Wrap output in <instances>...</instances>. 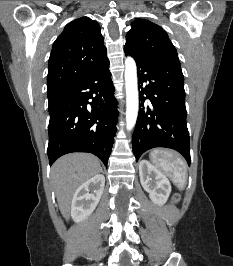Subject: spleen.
Returning <instances> with one entry per match:
<instances>
[{
	"mask_svg": "<svg viewBox=\"0 0 233 266\" xmlns=\"http://www.w3.org/2000/svg\"><path fill=\"white\" fill-rule=\"evenodd\" d=\"M152 163L171 178L173 183L183 190L187 182V170L181 157L171 151L155 149L150 152Z\"/></svg>",
	"mask_w": 233,
	"mask_h": 266,
	"instance_id": "1",
	"label": "spleen"
}]
</instances>
